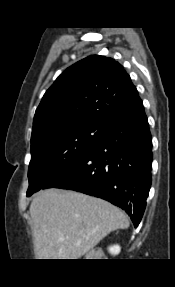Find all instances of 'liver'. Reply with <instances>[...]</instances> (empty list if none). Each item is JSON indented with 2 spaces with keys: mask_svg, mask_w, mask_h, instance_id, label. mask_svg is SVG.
Listing matches in <instances>:
<instances>
[{
  "mask_svg": "<svg viewBox=\"0 0 175 287\" xmlns=\"http://www.w3.org/2000/svg\"><path fill=\"white\" fill-rule=\"evenodd\" d=\"M30 215L38 259H79L110 232L129 227L125 213L109 202L54 188L38 192Z\"/></svg>",
  "mask_w": 175,
  "mask_h": 287,
  "instance_id": "6515ba94",
  "label": "liver"
}]
</instances>
